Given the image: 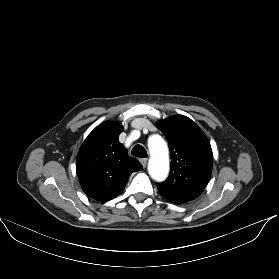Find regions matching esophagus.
<instances>
[{"label": "esophagus", "instance_id": "34e87169", "mask_svg": "<svg viewBox=\"0 0 279 279\" xmlns=\"http://www.w3.org/2000/svg\"><path fill=\"white\" fill-rule=\"evenodd\" d=\"M140 162L143 165V167L145 168L147 166L148 159L147 158H142V159H140Z\"/></svg>", "mask_w": 279, "mask_h": 279}]
</instances>
